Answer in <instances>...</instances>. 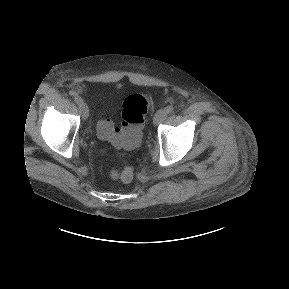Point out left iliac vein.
<instances>
[{
	"label": "left iliac vein",
	"mask_w": 289,
	"mask_h": 289,
	"mask_svg": "<svg viewBox=\"0 0 289 289\" xmlns=\"http://www.w3.org/2000/svg\"><path fill=\"white\" fill-rule=\"evenodd\" d=\"M166 116H167V112L165 109L158 110L153 117L154 125H158L159 123H161L165 119Z\"/></svg>",
	"instance_id": "1"
}]
</instances>
